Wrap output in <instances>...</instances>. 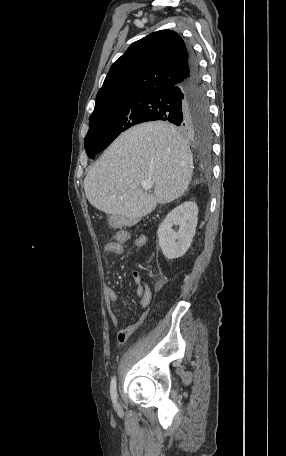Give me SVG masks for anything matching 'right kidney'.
I'll return each instance as SVG.
<instances>
[{
    "label": "right kidney",
    "instance_id": "obj_1",
    "mask_svg": "<svg viewBox=\"0 0 286 456\" xmlns=\"http://www.w3.org/2000/svg\"><path fill=\"white\" fill-rule=\"evenodd\" d=\"M197 215V204L187 201L168 213L160 224L157 231L158 242L167 259L181 257L189 249L196 231ZM174 225H179L178 232L172 229Z\"/></svg>",
    "mask_w": 286,
    "mask_h": 456
}]
</instances>
